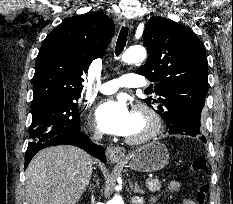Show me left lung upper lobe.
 I'll return each instance as SVG.
<instances>
[{
    "label": "left lung upper lobe",
    "mask_w": 233,
    "mask_h": 204,
    "mask_svg": "<svg viewBox=\"0 0 233 204\" xmlns=\"http://www.w3.org/2000/svg\"><path fill=\"white\" fill-rule=\"evenodd\" d=\"M149 56L139 74L155 82L156 98L147 105L160 114L165 123L170 107L177 101L190 100L205 104L208 91V62L205 49L194 32L164 17H151L143 32ZM201 116V114H200ZM174 134H201L200 128H179Z\"/></svg>",
    "instance_id": "5c2ea615"
}]
</instances>
